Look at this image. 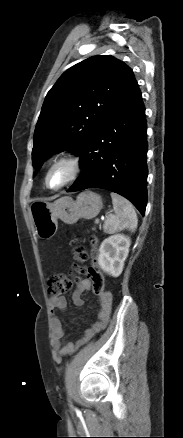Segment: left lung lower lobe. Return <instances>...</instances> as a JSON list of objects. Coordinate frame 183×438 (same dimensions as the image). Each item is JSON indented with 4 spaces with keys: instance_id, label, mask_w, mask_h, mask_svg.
<instances>
[{
    "instance_id": "0a47b994",
    "label": "left lung lower lobe",
    "mask_w": 183,
    "mask_h": 438,
    "mask_svg": "<svg viewBox=\"0 0 183 438\" xmlns=\"http://www.w3.org/2000/svg\"><path fill=\"white\" fill-rule=\"evenodd\" d=\"M145 108L137 82L81 151L80 177L68 192L102 188L118 193L144 215L147 204Z\"/></svg>"
}]
</instances>
